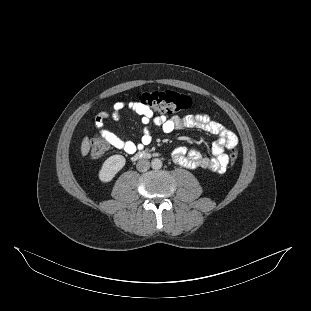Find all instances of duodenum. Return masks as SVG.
I'll use <instances>...</instances> for the list:
<instances>
[{"instance_id":"410a0bca","label":"duodenum","mask_w":311,"mask_h":311,"mask_svg":"<svg viewBox=\"0 0 311 311\" xmlns=\"http://www.w3.org/2000/svg\"><path fill=\"white\" fill-rule=\"evenodd\" d=\"M149 156V154L147 153V152H139V153H137L136 155H135V158L136 159H140V158H146V157H148Z\"/></svg>"}]
</instances>
